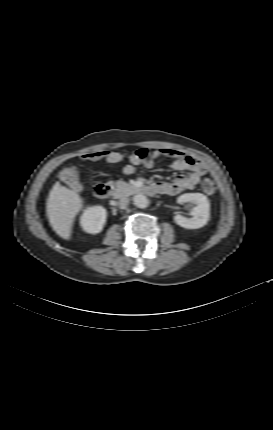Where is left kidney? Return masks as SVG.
I'll list each match as a JSON object with an SVG mask.
<instances>
[{
    "instance_id": "obj_1",
    "label": "left kidney",
    "mask_w": 273,
    "mask_h": 430,
    "mask_svg": "<svg viewBox=\"0 0 273 430\" xmlns=\"http://www.w3.org/2000/svg\"><path fill=\"white\" fill-rule=\"evenodd\" d=\"M177 202L179 204L189 202L195 206L191 209V218L175 215L176 224L186 229H198L207 224L210 218V202L207 196L201 193H185L177 198Z\"/></svg>"
}]
</instances>
